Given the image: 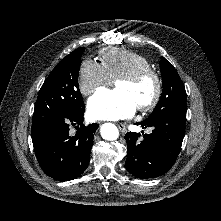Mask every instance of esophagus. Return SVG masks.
Instances as JSON below:
<instances>
[{
    "instance_id": "34e87169",
    "label": "esophagus",
    "mask_w": 221,
    "mask_h": 221,
    "mask_svg": "<svg viewBox=\"0 0 221 221\" xmlns=\"http://www.w3.org/2000/svg\"><path fill=\"white\" fill-rule=\"evenodd\" d=\"M117 127L119 128V130H120L123 134H125V133L127 132V129H126V127H125L124 124L119 123V124H117Z\"/></svg>"
}]
</instances>
